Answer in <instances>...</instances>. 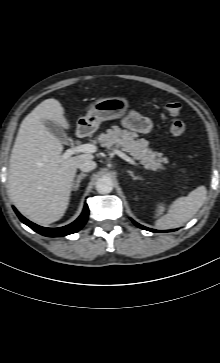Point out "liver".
Here are the masks:
<instances>
[{"mask_svg": "<svg viewBox=\"0 0 220 363\" xmlns=\"http://www.w3.org/2000/svg\"><path fill=\"white\" fill-rule=\"evenodd\" d=\"M56 99H46L22 121L9 161L8 186L17 209L39 224H50L65 213L78 163L93 159L85 153L64 159L62 143L44 125L45 120L70 124Z\"/></svg>", "mask_w": 220, "mask_h": 363, "instance_id": "liver-1", "label": "liver"}]
</instances>
